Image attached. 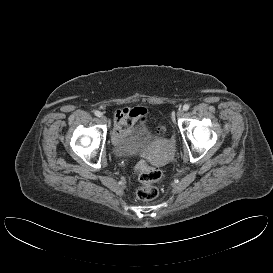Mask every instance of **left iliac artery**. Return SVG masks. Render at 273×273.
Returning <instances> with one entry per match:
<instances>
[{
    "label": "left iliac artery",
    "instance_id": "1",
    "mask_svg": "<svg viewBox=\"0 0 273 273\" xmlns=\"http://www.w3.org/2000/svg\"><path fill=\"white\" fill-rule=\"evenodd\" d=\"M189 108H190V105H189V104H185V105L183 106V110H184V111L189 110Z\"/></svg>",
    "mask_w": 273,
    "mask_h": 273
}]
</instances>
